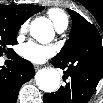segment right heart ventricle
<instances>
[{"instance_id":"obj_1","label":"right heart ventricle","mask_w":103,"mask_h":103,"mask_svg":"<svg viewBox=\"0 0 103 103\" xmlns=\"http://www.w3.org/2000/svg\"><path fill=\"white\" fill-rule=\"evenodd\" d=\"M48 16L53 22L56 29L66 28L68 25V18L66 14L60 9L53 8L48 11Z\"/></svg>"}]
</instances>
